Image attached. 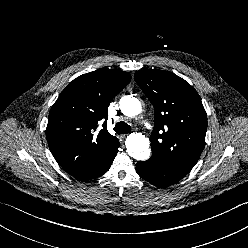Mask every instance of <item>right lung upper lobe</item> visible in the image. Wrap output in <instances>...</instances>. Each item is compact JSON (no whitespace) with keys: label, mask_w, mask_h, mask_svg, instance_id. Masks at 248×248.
Listing matches in <instances>:
<instances>
[{"label":"right lung upper lobe","mask_w":248,"mask_h":248,"mask_svg":"<svg viewBox=\"0 0 248 248\" xmlns=\"http://www.w3.org/2000/svg\"><path fill=\"white\" fill-rule=\"evenodd\" d=\"M129 73L98 69L74 79L52 106L46 138L59 165L85 178L107 160L117 139L106 129L110 101L130 82ZM103 129L94 135L100 121Z\"/></svg>","instance_id":"cb5924a9"}]
</instances>
